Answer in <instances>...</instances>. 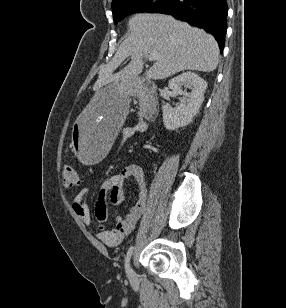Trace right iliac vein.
Wrapping results in <instances>:
<instances>
[{
	"label": "right iliac vein",
	"instance_id": "63e3f726",
	"mask_svg": "<svg viewBox=\"0 0 286 308\" xmlns=\"http://www.w3.org/2000/svg\"><path fill=\"white\" fill-rule=\"evenodd\" d=\"M134 273L132 271V269H130V273H129V277H133Z\"/></svg>",
	"mask_w": 286,
	"mask_h": 308
}]
</instances>
